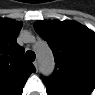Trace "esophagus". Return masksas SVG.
I'll return each instance as SVG.
<instances>
[{"mask_svg": "<svg viewBox=\"0 0 95 95\" xmlns=\"http://www.w3.org/2000/svg\"><path fill=\"white\" fill-rule=\"evenodd\" d=\"M33 64H34L35 68L38 70V68H39V62L37 60H35L33 62Z\"/></svg>", "mask_w": 95, "mask_h": 95, "instance_id": "esophagus-1", "label": "esophagus"}]
</instances>
